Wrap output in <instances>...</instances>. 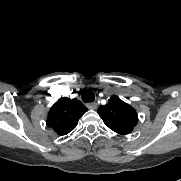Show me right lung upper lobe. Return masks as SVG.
<instances>
[{
    "label": "right lung upper lobe",
    "mask_w": 181,
    "mask_h": 181,
    "mask_svg": "<svg viewBox=\"0 0 181 181\" xmlns=\"http://www.w3.org/2000/svg\"><path fill=\"white\" fill-rule=\"evenodd\" d=\"M88 109L77 99L60 98L49 110L47 126L58 135H66L77 125Z\"/></svg>",
    "instance_id": "cb5924a9"
}]
</instances>
